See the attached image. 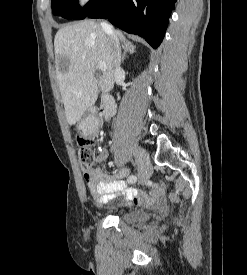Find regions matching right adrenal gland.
<instances>
[{
	"instance_id": "obj_1",
	"label": "right adrenal gland",
	"mask_w": 247,
	"mask_h": 275,
	"mask_svg": "<svg viewBox=\"0 0 247 275\" xmlns=\"http://www.w3.org/2000/svg\"><path fill=\"white\" fill-rule=\"evenodd\" d=\"M136 46L133 45L131 42H128L127 44H125V49H124V54L122 56V62H124L125 58H126V54H134Z\"/></svg>"
}]
</instances>
